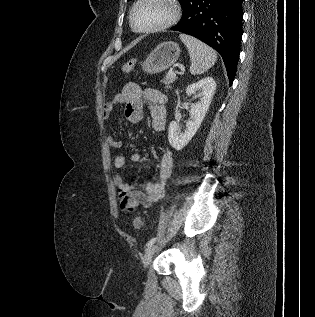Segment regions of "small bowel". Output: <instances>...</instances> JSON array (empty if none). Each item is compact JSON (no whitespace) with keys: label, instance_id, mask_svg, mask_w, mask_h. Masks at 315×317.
I'll return each mask as SVG.
<instances>
[{"label":"small bowel","instance_id":"1","mask_svg":"<svg viewBox=\"0 0 315 317\" xmlns=\"http://www.w3.org/2000/svg\"><path fill=\"white\" fill-rule=\"evenodd\" d=\"M147 104L150 110L151 126L156 132H163L166 128V96L157 90L142 89L136 83L126 84L121 93L109 101L103 110L105 119L109 118L112 112L122 105L126 119L138 124L142 118L143 104ZM106 142L113 149H120L123 143L116 140L112 134H108ZM139 153H132L129 156L118 154L114 158V166L118 169L126 166L128 162L136 163L140 161ZM173 168L172 153L165 149L162 153L158 178L156 181L145 184H132L124 180L120 174L115 175L114 183L118 191L119 207L125 212H136L140 207L148 208L153 203L162 199L167 181Z\"/></svg>","mask_w":315,"mask_h":317}]
</instances>
